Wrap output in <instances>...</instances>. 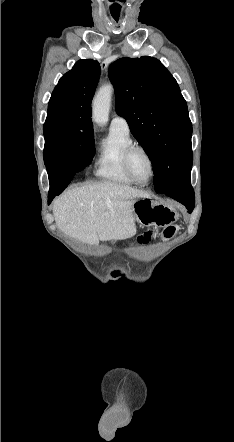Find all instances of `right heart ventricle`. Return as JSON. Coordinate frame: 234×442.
Returning <instances> with one entry per match:
<instances>
[{"label": "right heart ventricle", "instance_id": "right-heart-ventricle-1", "mask_svg": "<svg viewBox=\"0 0 234 442\" xmlns=\"http://www.w3.org/2000/svg\"><path fill=\"white\" fill-rule=\"evenodd\" d=\"M132 144L134 141L129 131L111 128L107 139L100 147L95 175L116 184H135L127 175L123 165L124 152Z\"/></svg>", "mask_w": 234, "mask_h": 442}]
</instances>
